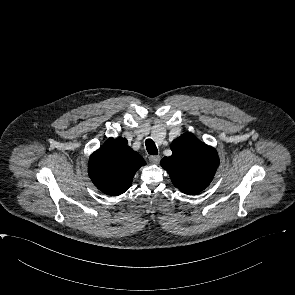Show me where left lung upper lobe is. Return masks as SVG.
<instances>
[{"label":"left lung upper lobe","instance_id":"1","mask_svg":"<svg viewBox=\"0 0 295 295\" xmlns=\"http://www.w3.org/2000/svg\"><path fill=\"white\" fill-rule=\"evenodd\" d=\"M172 155L161 160L172 183L186 194L203 191L212 181L219 165L214 148L191 133H184L171 144Z\"/></svg>","mask_w":295,"mask_h":295}]
</instances>
